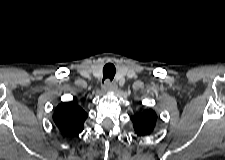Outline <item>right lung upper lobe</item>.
<instances>
[{
    "label": "right lung upper lobe",
    "instance_id": "right-lung-upper-lobe-1",
    "mask_svg": "<svg viewBox=\"0 0 225 160\" xmlns=\"http://www.w3.org/2000/svg\"><path fill=\"white\" fill-rule=\"evenodd\" d=\"M88 114L76 103L59 104L53 114V121L66 137L78 136L84 129Z\"/></svg>",
    "mask_w": 225,
    "mask_h": 160
}]
</instances>
